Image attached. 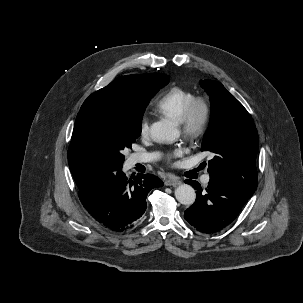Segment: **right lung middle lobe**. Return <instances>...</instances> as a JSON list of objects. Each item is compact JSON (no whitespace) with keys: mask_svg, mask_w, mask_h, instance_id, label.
I'll return each mask as SVG.
<instances>
[{"mask_svg":"<svg viewBox=\"0 0 303 303\" xmlns=\"http://www.w3.org/2000/svg\"><path fill=\"white\" fill-rule=\"evenodd\" d=\"M169 82L168 76L159 77L148 96L125 99L111 95L86 99L75 122L76 141L98 159L102 172L120 170L125 148H131L141 133V119L150 99ZM77 185L92 177L79 165L69 164Z\"/></svg>","mask_w":303,"mask_h":303,"instance_id":"1","label":"right lung middle lobe"}]
</instances>
